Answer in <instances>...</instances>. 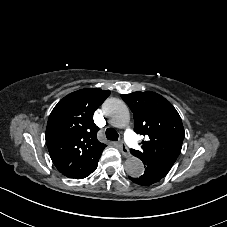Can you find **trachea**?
<instances>
[{
  "label": "trachea",
  "mask_w": 227,
  "mask_h": 227,
  "mask_svg": "<svg viewBox=\"0 0 227 227\" xmlns=\"http://www.w3.org/2000/svg\"><path fill=\"white\" fill-rule=\"evenodd\" d=\"M105 134H106V138L108 140H112V141H117L118 140L119 135H118V133L116 132L115 129L108 128L106 130Z\"/></svg>",
  "instance_id": "trachea-1"
}]
</instances>
